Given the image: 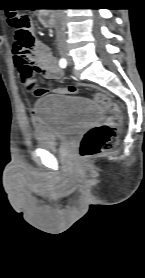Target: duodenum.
I'll list each match as a JSON object with an SVG mask.
<instances>
[{"instance_id":"duodenum-1","label":"duodenum","mask_w":145,"mask_h":278,"mask_svg":"<svg viewBox=\"0 0 145 278\" xmlns=\"http://www.w3.org/2000/svg\"><path fill=\"white\" fill-rule=\"evenodd\" d=\"M40 20L45 26H47V27L52 26V21H51V17L49 15V13H45V14L41 15Z\"/></svg>"}]
</instances>
